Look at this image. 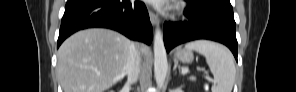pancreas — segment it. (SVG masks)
<instances>
[{"label": "pancreas", "mask_w": 296, "mask_h": 92, "mask_svg": "<svg viewBox=\"0 0 296 92\" xmlns=\"http://www.w3.org/2000/svg\"><path fill=\"white\" fill-rule=\"evenodd\" d=\"M191 81H195V78L194 77H190L189 78Z\"/></svg>", "instance_id": "cf45deb5"}]
</instances>
